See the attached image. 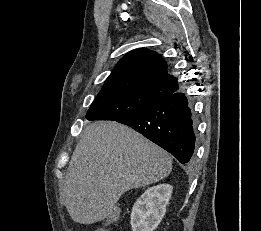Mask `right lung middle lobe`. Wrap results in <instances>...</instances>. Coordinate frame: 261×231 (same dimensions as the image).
Instances as JSON below:
<instances>
[{
  "label": "right lung middle lobe",
  "mask_w": 261,
  "mask_h": 231,
  "mask_svg": "<svg viewBox=\"0 0 261 231\" xmlns=\"http://www.w3.org/2000/svg\"><path fill=\"white\" fill-rule=\"evenodd\" d=\"M158 100L156 95L138 87L100 91L86 118L117 121L149 107Z\"/></svg>",
  "instance_id": "1"
}]
</instances>
